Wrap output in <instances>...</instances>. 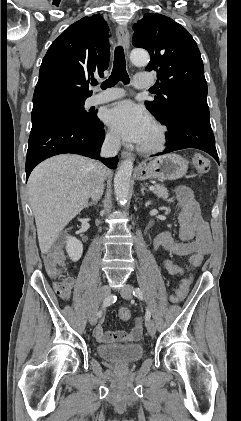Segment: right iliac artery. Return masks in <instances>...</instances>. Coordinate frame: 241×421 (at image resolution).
<instances>
[{"label": "right iliac artery", "instance_id": "82829eb1", "mask_svg": "<svg viewBox=\"0 0 241 421\" xmlns=\"http://www.w3.org/2000/svg\"><path fill=\"white\" fill-rule=\"evenodd\" d=\"M117 300V297L116 296H114V295H110V296H108L104 301H103V304H102V308H101V310H99V312L97 313V317L98 318H100L101 316H102V311L103 310H105V308L107 307V306H110V305H112L113 303H115V301Z\"/></svg>", "mask_w": 241, "mask_h": 421}]
</instances>
